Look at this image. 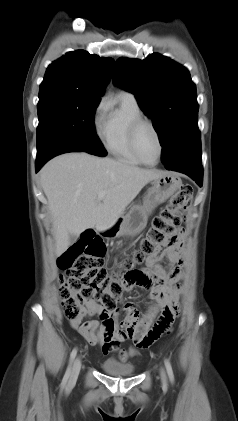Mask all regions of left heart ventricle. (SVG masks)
Masks as SVG:
<instances>
[{
	"mask_svg": "<svg viewBox=\"0 0 238 421\" xmlns=\"http://www.w3.org/2000/svg\"><path fill=\"white\" fill-rule=\"evenodd\" d=\"M137 146L145 161L153 163L157 160L159 144L153 129L148 124L141 126L137 136Z\"/></svg>",
	"mask_w": 238,
	"mask_h": 421,
	"instance_id": "1",
	"label": "left heart ventricle"
}]
</instances>
